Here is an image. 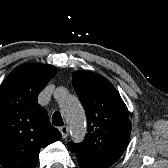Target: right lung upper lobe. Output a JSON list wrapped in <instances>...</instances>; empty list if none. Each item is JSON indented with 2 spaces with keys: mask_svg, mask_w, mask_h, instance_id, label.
<instances>
[{
  "mask_svg": "<svg viewBox=\"0 0 168 168\" xmlns=\"http://www.w3.org/2000/svg\"><path fill=\"white\" fill-rule=\"evenodd\" d=\"M56 72L48 64H22L0 85V164L4 168H35L40 149L62 137L37 104L38 94Z\"/></svg>",
  "mask_w": 168,
  "mask_h": 168,
  "instance_id": "right-lung-upper-lobe-1",
  "label": "right lung upper lobe"
}]
</instances>
